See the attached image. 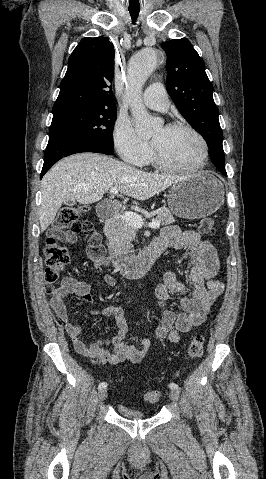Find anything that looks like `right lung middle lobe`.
I'll return each instance as SVG.
<instances>
[{
	"label": "right lung middle lobe",
	"mask_w": 266,
	"mask_h": 479,
	"mask_svg": "<svg viewBox=\"0 0 266 479\" xmlns=\"http://www.w3.org/2000/svg\"><path fill=\"white\" fill-rule=\"evenodd\" d=\"M116 109H72L53 113L49 134L89 140L114 148Z\"/></svg>",
	"instance_id": "obj_1"
}]
</instances>
